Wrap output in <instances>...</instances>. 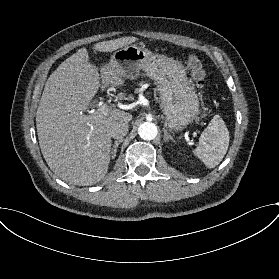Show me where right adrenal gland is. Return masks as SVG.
Here are the masks:
<instances>
[{
    "mask_svg": "<svg viewBox=\"0 0 279 279\" xmlns=\"http://www.w3.org/2000/svg\"><path fill=\"white\" fill-rule=\"evenodd\" d=\"M122 142V139L116 140L115 144L113 146V149L111 150V154H112V159H115L116 153H117V148L119 146V144Z\"/></svg>",
    "mask_w": 279,
    "mask_h": 279,
    "instance_id": "obj_1",
    "label": "right adrenal gland"
}]
</instances>
